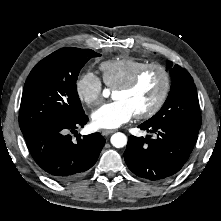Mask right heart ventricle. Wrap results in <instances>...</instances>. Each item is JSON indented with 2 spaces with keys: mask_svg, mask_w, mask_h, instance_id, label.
Wrapping results in <instances>:
<instances>
[{
  "mask_svg": "<svg viewBox=\"0 0 221 221\" xmlns=\"http://www.w3.org/2000/svg\"><path fill=\"white\" fill-rule=\"evenodd\" d=\"M147 62L133 57H123L104 61L99 69L105 85L111 89L127 81L140 67Z\"/></svg>",
  "mask_w": 221,
  "mask_h": 221,
  "instance_id": "obj_1",
  "label": "right heart ventricle"
}]
</instances>
